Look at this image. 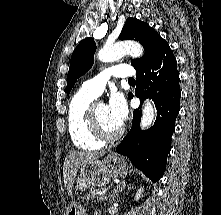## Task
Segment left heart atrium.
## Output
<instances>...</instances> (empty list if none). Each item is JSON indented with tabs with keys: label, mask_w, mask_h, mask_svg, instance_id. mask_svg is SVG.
<instances>
[{
	"label": "left heart atrium",
	"mask_w": 221,
	"mask_h": 215,
	"mask_svg": "<svg viewBox=\"0 0 221 215\" xmlns=\"http://www.w3.org/2000/svg\"><path fill=\"white\" fill-rule=\"evenodd\" d=\"M107 107L112 123L121 127L128 116V107L124 96L119 92L113 93Z\"/></svg>",
	"instance_id": "left-heart-atrium-1"
}]
</instances>
